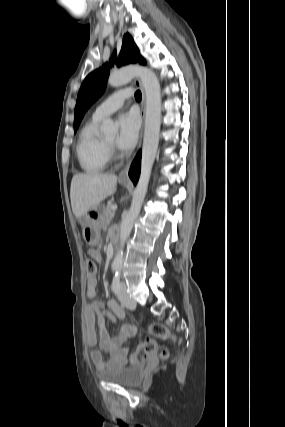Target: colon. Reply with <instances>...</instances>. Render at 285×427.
Wrapping results in <instances>:
<instances>
[{"mask_svg": "<svg viewBox=\"0 0 285 427\" xmlns=\"http://www.w3.org/2000/svg\"><path fill=\"white\" fill-rule=\"evenodd\" d=\"M97 272V266L91 258L85 260V274L87 281L94 279ZM149 332L151 336L144 341L140 342L137 346L136 352L133 353L129 362L135 364L140 361H144L152 356L157 350V339H166L170 337L169 331L166 327L160 323H152L149 325ZM162 358L168 357V351L163 350L161 352Z\"/></svg>", "mask_w": 285, "mask_h": 427, "instance_id": "colon-1", "label": "colon"}]
</instances>
